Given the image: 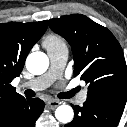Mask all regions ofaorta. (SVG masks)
<instances>
[{
    "instance_id": "762f6f07",
    "label": "aorta",
    "mask_w": 127,
    "mask_h": 127,
    "mask_svg": "<svg viewBox=\"0 0 127 127\" xmlns=\"http://www.w3.org/2000/svg\"><path fill=\"white\" fill-rule=\"evenodd\" d=\"M49 66V59L43 52H32L26 59L27 70L34 75L43 74ZM56 119L61 123H69L74 117V111L69 105H61L55 111Z\"/></svg>"
}]
</instances>
